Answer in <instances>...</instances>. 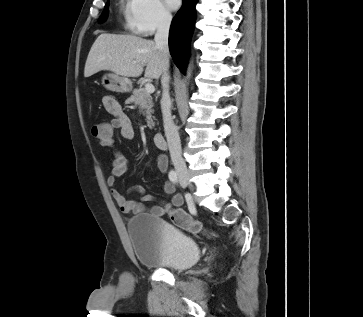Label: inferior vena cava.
<instances>
[{
	"label": "inferior vena cava",
	"instance_id": "1",
	"mask_svg": "<svg viewBox=\"0 0 363 317\" xmlns=\"http://www.w3.org/2000/svg\"><path fill=\"white\" fill-rule=\"evenodd\" d=\"M172 17L170 14H163L160 17L157 32L155 34V44L162 52L164 59L163 74L161 77L162 98L161 110L163 115L164 131L167 139L172 163L177 172H187L186 163L182 157L180 137L171 116V99L169 95V46L168 37Z\"/></svg>",
	"mask_w": 363,
	"mask_h": 317
}]
</instances>
